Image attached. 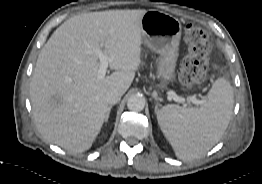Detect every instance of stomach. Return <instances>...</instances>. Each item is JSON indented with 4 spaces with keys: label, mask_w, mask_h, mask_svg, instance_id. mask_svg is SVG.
Wrapping results in <instances>:
<instances>
[{
    "label": "stomach",
    "mask_w": 262,
    "mask_h": 184,
    "mask_svg": "<svg viewBox=\"0 0 262 184\" xmlns=\"http://www.w3.org/2000/svg\"><path fill=\"white\" fill-rule=\"evenodd\" d=\"M181 30L180 21L162 11L149 10L141 19L142 41L160 54L157 75L164 85L175 79Z\"/></svg>",
    "instance_id": "stomach-1"
}]
</instances>
